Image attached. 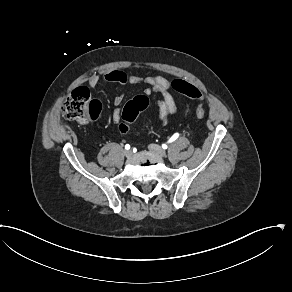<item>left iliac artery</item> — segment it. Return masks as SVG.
<instances>
[{"label": "left iliac artery", "mask_w": 292, "mask_h": 292, "mask_svg": "<svg viewBox=\"0 0 292 292\" xmlns=\"http://www.w3.org/2000/svg\"><path fill=\"white\" fill-rule=\"evenodd\" d=\"M179 137V133H175L170 139H169V142H173L175 141L177 138ZM165 145H163L164 147Z\"/></svg>", "instance_id": "44dca946"}]
</instances>
